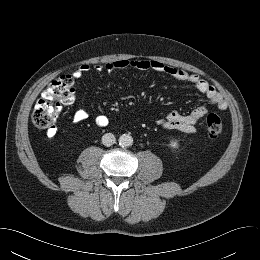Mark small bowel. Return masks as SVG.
Returning a JSON list of instances; mask_svg holds the SVG:
<instances>
[{"label":"small bowel","instance_id":"small-bowel-1","mask_svg":"<svg viewBox=\"0 0 260 260\" xmlns=\"http://www.w3.org/2000/svg\"><path fill=\"white\" fill-rule=\"evenodd\" d=\"M134 68L141 71H154L161 74H166L179 81L189 83L195 87L197 91L204 94L210 102L220 110L227 108V102L223 96L206 80L196 74L189 73L183 69L165 65L160 61L151 59H120L106 63L104 66H97L98 71L113 72ZM90 69L88 64H82L73 72V76L77 79L81 78ZM205 106H199L187 114H181L172 111L166 116L160 118L157 124L164 129H173L185 133H194L196 131L197 122L206 114ZM88 113L85 109H78L73 115V122L78 124L86 120ZM95 122L99 127H105L109 123V119L105 114H99L95 118ZM54 133H51V136Z\"/></svg>","mask_w":260,"mask_h":260}]
</instances>
